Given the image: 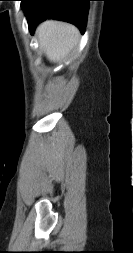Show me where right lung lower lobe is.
Masks as SVG:
<instances>
[{
    "label": "right lung lower lobe",
    "mask_w": 133,
    "mask_h": 253,
    "mask_svg": "<svg viewBox=\"0 0 133 253\" xmlns=\"http://www.w3.org/2000/svg\"><path fill=\"white\" fill-rule=\"evenodd\" d=\"M91 0H29L25 7L29 30L47 18L74 24L84 33Z\"/></svg>",
    "instance_id": "1"
}]
</instances>
